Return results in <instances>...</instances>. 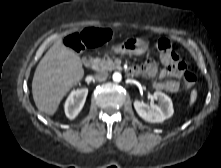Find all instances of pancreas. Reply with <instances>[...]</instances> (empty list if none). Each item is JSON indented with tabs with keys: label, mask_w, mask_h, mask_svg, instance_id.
I'll return each mask as SVG.
<instances>
[{
	"label": "pancreas",
	"mask_w": 221,
	"mask_h": 168,
	"mask_svg": "<svg viewBox=\"0 0 221 168\" xmlns=\"http://www.w3.org/2000/svg\"><path fill=\"white\" fill-rule=\"evenodd\" d=\"M118 66L110 58H96L94 69L97 71H111L117 69Z\"/></svg>",
	"instance_id": "obj_1"
}]
</instances>
